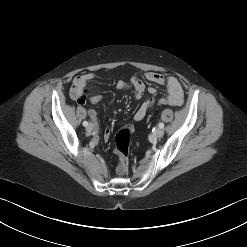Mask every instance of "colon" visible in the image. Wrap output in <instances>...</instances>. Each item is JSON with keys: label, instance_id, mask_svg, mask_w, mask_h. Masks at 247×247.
Masks as SVG:
<instances>
[{"label": "colon", "instance_id": "1", "mask_svg": "<svg viewBox=\"0 0 247 247\" xmlns=\"http://www.w3.org/2000/svg\"><path fill=\"white\" fill-rule=\"evenodd\" d=\"M170 101L168 98H161L158 100V106H168ZM131 140V131L130 129L124 128L121 129L115 138V151L119 157V170L125 171L128 165V154Z\"/></svg>", "mask_w": 247, "mask_h": 247}]
</instances>
